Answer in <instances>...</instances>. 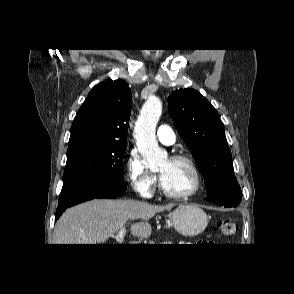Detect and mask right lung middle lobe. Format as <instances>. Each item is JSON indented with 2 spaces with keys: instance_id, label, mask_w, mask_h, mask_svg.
<instances>
[{
  "instance_id": "obj_1",
  "label": "right lung middle lobe",
  "mask_w": 294,
  "mask_h": 294,
  "mask_svg": "<svg viewBox=\"0 0 294 294\" xmlns=\"http://www.w3.org/2000/svg\"><path fill=\"white\" fill-rule=\"evenodd\" d=\"M126 144L80 142L68 145L63 189L88 181L124 184Z\"/></svg>"
}]
</instances>
